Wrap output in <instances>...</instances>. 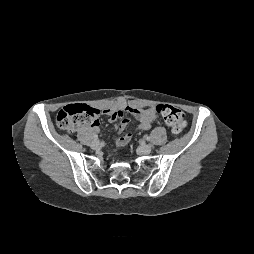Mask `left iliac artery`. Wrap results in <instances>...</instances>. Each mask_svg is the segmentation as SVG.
<instances>
[{"instance_id": "44dca946", "label": "left iliac artery", "mask_w": 254, "mask_h": 254, "mask_svg": "<svg viewBox=\"0 0 254 254\" xmlns=\"http://www.w3.org/2000/svg\"><path fill=\"white\" fill-rule=\"evenodd\" d=\"M145 139H146L147 141H149V140H150V137H149V136H145Z\"/></svg>"}]
</instances>
